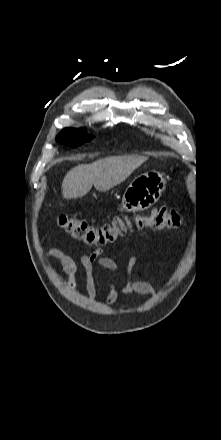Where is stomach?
Returning a JSON list of instances; mask_svg holds the SVG:
<instances>
[{"label": "stomach", "instance_id": "1", "mask_svg": "<svg viewBox=\"0 0 221 440\" xmlns=\"http://www.w3.org/2000/svg\"><path fill=\"white\" fill-rule=\"evenodd\" d=\"M164 175L157 171L143 173L129 184L122 197V211H142L158 201L166 188Z\"/></svg>", "mask_w": 221, "mask_h": 440}]
</instances>
